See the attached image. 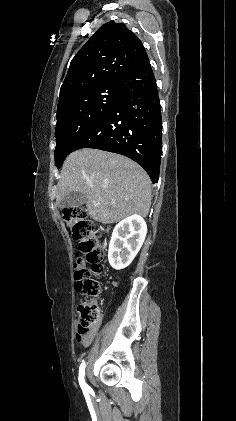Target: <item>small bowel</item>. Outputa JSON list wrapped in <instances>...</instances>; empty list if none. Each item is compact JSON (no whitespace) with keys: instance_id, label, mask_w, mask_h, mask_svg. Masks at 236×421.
I'll use <instances>...</instances> for the list:
<instances>
[{"instance_id":"c3829d8e","label":"small bowel","mask_w":236,"mask_h":421,"mask_svg":"<svg viewBox=\"0 0 236 421\" xmlns=\"http://www.w3.org/2000/svg\"><path fill=\"white\" fill-rule=\"evenodd\" d=\"M97 330H98V328L95 327L91 332H89L87 335H85L82 339V343L85 344V345L90 344L93 341Z\"/></svg>"}]
</instances>
